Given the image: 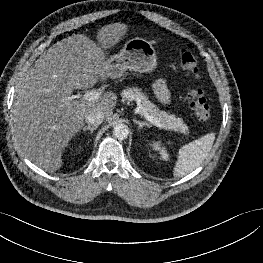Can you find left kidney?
Returning <instances> with one entry per match:
<instances>
[{
    "instance_id": "left-kidney-1",
    "label": "left kidney",
    "mask_w": 263,
    "mask_h": 263,
    "mask_svg": "<svg viewBox=\"0 0 263 263\" xmlns=\"http://www.w3.org/2000/svg\"><path fill=\"white\" fill-rule=\"evenodd\" d=\"M153 147H154L155 150L160 151V154L162 155V157H163L164 159H166V158L168 157L167 153L165 152L164 148H162V147L160 146V143H159V142H154V143H153Z\"/></svg>"
}]
</instances>
